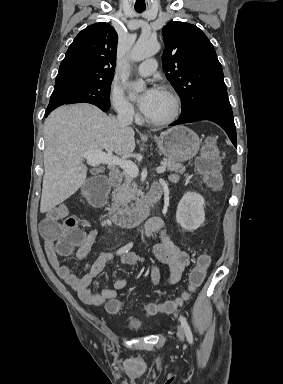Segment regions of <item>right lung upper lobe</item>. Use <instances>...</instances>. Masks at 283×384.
<instances>
[{
	"label": "right lung upper lobe",
	"mask_w": 283,
	"mask_h": 384,
	"mask_svg": "<svg viewBox=\"0 0 283 384\" xmlns=\"http://www.w3.org/2000/svg\"><path fill=\"white\" fill-rule=\"evenodd\" d=\"M117 41V33L108 23H95L82 30L61 62L55 87L113 79Z\"/></svg>",
	"instance_id": "1"
}]
</instances>
